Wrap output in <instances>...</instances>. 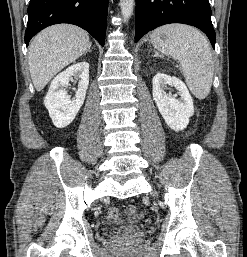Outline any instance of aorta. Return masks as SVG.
Listing matches in <instances>:
<instances>
[{"label": "aorta", "mask_w": 247, "mask_h": 257, "mask_svg": "<svg viewBox=\"0 0 247 257\" xmlns=\"http://www.w3.org/2000/svg\"><path fill=\"white\" fill-rule=\"evenodd\" d=\"M135 0H120L121 13L124 21H128L133 14Z\"/></svg>", "instance_id": "aorta-1"}]
</instances>
